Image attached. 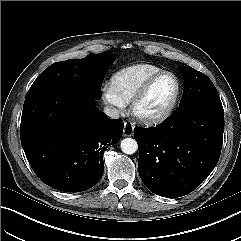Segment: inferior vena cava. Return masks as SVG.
I'll return each instance as SVG.
<instances>
[{
  "mask_svg": "<svg viewBox=\"0 0 241 241\" xmlns=\"http://www.w3.org/2000/svg\"><path fill=\"white\" fill-rule=\"evenodd\" d=\"M104 113L109 118H112V119H118L119 118V111L113 106L104 107Z\"/></svg>",
  "mask_w": 241,
  "mask_h": 241,
  "instance_id": "602c4592",
  "label": "inferior vena cava"
}]
</instances>
